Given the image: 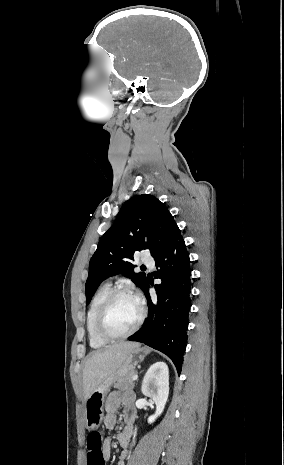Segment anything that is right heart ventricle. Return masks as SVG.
<instances>
[{
    "label": "right heart ventricle",
    "instance_id": "obj_1",
    "mask_svg": "<svg viewBox=\"0 0 284 465\" xmlns=\"http://www.w3.org/2000/svg\"><path fill=\"white\" fill-rule=\"evenodd\" d=\"M111 293L110 284H103L93 295L86 315V332L90 346H107L108 343L101 341L95 334V319L103 302Z\"/></svg>",
    "mask_w": 284,
    "mask_h": 465
}]
</instances>
